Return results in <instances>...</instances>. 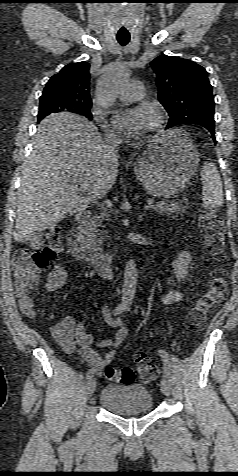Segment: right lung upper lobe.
Instances as JSON below:
<instances>
[{"label":"right lung upper lobe","instance_id":"obj_1","mask_svg":"<svg viewBox=\"0 0 238 476\" xmlns=\"http://www.w3.org/2000/svg\"><path fill=\"white\" fill-rule=\"evenodd\" d=\"M90 65L70 63L47 82L40 102H51L71 112L92 106L90 98Z\"/></svg>","mask_w":238,"mask_h":476}]
</instances>
